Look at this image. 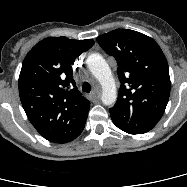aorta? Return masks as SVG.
Wrapping results in <instances>:
<instances>
[{"mask_svg": "<svg viewBox=\"0 0 187 187\" xmlns=\"http://www.w3.org/2000/svg\"><path fill=\"white\" fill-rule=\"evenodd\" d=\"M87 66L102 87L101 100L104 105H113L117 99V90L111 69L105 59L98 53L87 57Z\"/></svg>", "mask_w": 187, "mask_h": 187, "instance_id": "1", "label": "aorta"}]
</instances>
